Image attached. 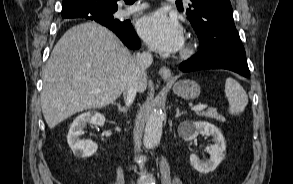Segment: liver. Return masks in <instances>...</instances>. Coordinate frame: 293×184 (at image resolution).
<instances>
[{"mask_svg":"<svg viewBox=\"0 0 293 184\" xmlns=\"http://www.w3.org/2000/svg\"><path fill=\"white\" fill-rule=\"evenodd\" d=\"M133 58L113 32L95 22L66 31L43 69L41 108L48 127L113 103L133 75ZM146 86L145 79L139 91Z\"/></svg>","mask_w":293,"mask_h":184,"instance_id":"1","label":"liver"}]
</instances>
